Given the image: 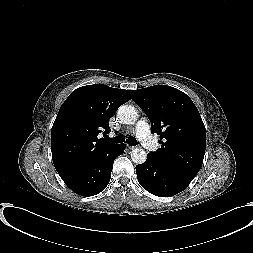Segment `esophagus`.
Masks as SVG:
<instances>
[{
    "label": "esophagus",
    "mask_w": 253,
    "mask_h": 253,
    "mask_svg": "<svg viewBox=\"0 0 253 253\" xmlns=\"http://www.w3.org/2000/svg\"><path fill=\"white\" fill-rule=\"evenodd\" d=\"M127 148H128L129 150H133V149L135 148V146L127 145Z\"/></svg>",
    "instance_id": "obj_1"
}]
</instances>
